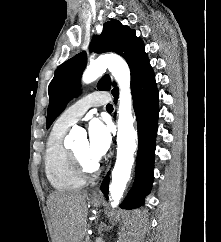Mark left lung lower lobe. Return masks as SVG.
Instances as JSON below:
<instances>
[{
    "label": "left lung lower lobe",
    "mask_w": 221,
    "mask_h": 242,
    "mask_svg": "<svg viewBox=\"0 0 221 242\" xmlns=\"http://www.w3.org/2000/svg\"><path fill=\"white\" fill-rule=\"evenodd\" d=\"M133 107L136 114L139 148L136 163L135 183L121 207L132 209L143 204L144 196L153 182L155 138L158 121V90L155 75L150 65L131 77ZM118 97V90L112 92ZM117 102L116 98L114 99ZM109 177L106 176L101 191L108 198Z\"/></svg>",
    "instance_id": "obj_1"
}]
</instances>
